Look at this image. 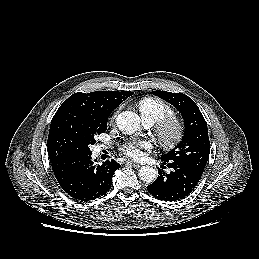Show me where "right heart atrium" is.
<instances>
[{
	"label": "right heart atrium",
	"mask_w": 259,
	"mask_h": 259,
	"mask_svg": "<svg viewBox=\"0 0 259 259\" xmlns=\"http://www.w3.org/2000/svg\"><path fill=\"white\" fill-rule=\"evenodd\" d=\"M116 117V114L113 116V118H115Z\"/></svg>",
	"instance_id": "right-heart-atrium-1"
}]
</instances>
